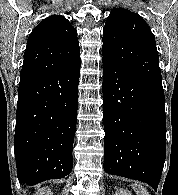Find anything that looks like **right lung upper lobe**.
<instances>
[{
	"label": "right lung upper lobe",
	"instance_id": "right-lung-upper-lobe-1",
	"mask_svg": "<svg viewBox=\"0 0 178 195\" xmlns=\"http://www.w3.org/2000/svg\"><path fill=\"white\" fill-rule=\"evenodd\" d=\"M77 32L61 15L43 19L31 32L20 77L71 70L80 64Z\"/></svg>",
	"mask_w": 178,
	"mask_h": 195
}]
</instances>
